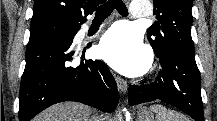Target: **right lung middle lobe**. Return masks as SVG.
Listing matches in <instances>:
<instances>
[{
    "instance_id": "right-lung-middle-lobe-1",
    "label": "right lung middle lobe",
    "mask_w": 217,
    "mask_h": 121,
    "mask_svg": "<svg viewBox=\"0 0 217 121\" xmlns=\"http://www.w3.org/2000/svg\"><path fill=\"white\" fill-rule=\"evenodd\" d=\"M79 26L80 25L53 19L31 22L29 41L54 35L72 36Z\"/></svg>"
}]
</instances>
